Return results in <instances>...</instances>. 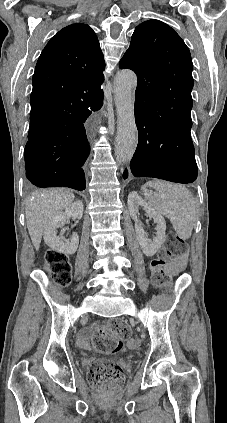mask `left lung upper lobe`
<instances>
[{
  "instance_id": "5c2ea615",
  "label": "left lung upper lobe",
  "mask_w": 227,
  "mask_h": 423,
  "mask_svg": "<svg viewBox=\"0 0 227 423\" xmlns=\"http://www.w3.org/2000/svg\"><path fill=\"white\" fill-rule=\"evenodd\" d=\"M119 65L137 74L135 108L191 111L194 80L190 51L167 24L149 20L136 27Z\"/></svg>"
}]
</instances>
